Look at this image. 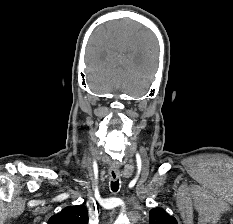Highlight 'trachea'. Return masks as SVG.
Segmentation results:
<instances>
[{"mask_svg": "<svg viewBox=\"0 0 233 224\" xmlns=\"http://www.w3.org/2000/svg\"><path fill=\"white\" fill-rule=\"evenodd\" d=\"M119 189V180L111 181V190L117 192Z\"/></svg>", "mask_w": 233, "mask_h": 224, "instance_id": "1", "label": "trachea"}]
</instances>
